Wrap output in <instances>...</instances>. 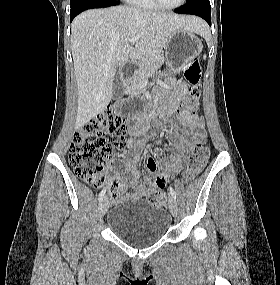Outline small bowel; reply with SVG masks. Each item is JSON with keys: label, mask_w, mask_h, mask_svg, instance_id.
I'll use <instances>...</instances> for the list:
<instances>
[{"label": "small bowel", "mask_w": 280, "mask_h": 285, "mask_svg": "<svg viewBox=\"0 0 280 285\" xmlns=\"http://www.w3.org/2000/svg\"><path fill=\"white\" fill-rule=\"evenodd\" d=\"M188 90V85L180 82L177 88L172 91L166 102L164 114L175 112L179 108L181 100L184 98ZM136 124L130 129V133L135 138L144 137L148 130L149 123L147 119L142 116L136 117ZM179 120L184 127L183 133H177L174 137L175 142L178 143L180 155L176 156L170 166L163 170H158V161L155 157L149 156L145 161L146 170L153 175V179L145 177L143 184L138 182V171L136 162L140 159L141 153L144 149V142L139 139L133 143L134 151L132 158H125L122 160L115 159L113 165L125 174V177L115 176L113 179L117 183V191L115 197L117 200L124 198L141 199L151 193L161 191L165 188L167 179L182 171L183 157L187 153L188 148L195 140H204L206 133L204 125L200 116L196 113H190L181 110L179 113ZM128 188H133L132 193H126Z\"/></svg>", "instance_id": "1"}]
</instances>
